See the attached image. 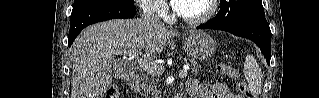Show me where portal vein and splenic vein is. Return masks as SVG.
Masks as SVG:
<instances>
[{
	"label": "portal vein and splenic vein",
	"instance_id": "1",
	"mask_svg": "<svg viewBox=\"0 0 319 98\" xmlns=\"http://www.w3.org/2000/svg\"><path fill=\"white\" fill-rule=\"evenodd\" d=\"M117 54L124 55V56H129L131 59H135L140 67L150 73V74H158L160 72L159 66L156 64H153L146 59L140 58V48H136L133 50H122L117 52ZM189 67L185 66L183 70L179 71V77L184 78L187 76V71Z\"/></svg>",
	"mask_w": 319,
	"mask_h": 98
}]
</instances>
